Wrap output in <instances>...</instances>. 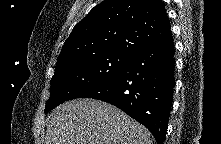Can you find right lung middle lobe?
Returning a JSON list of instances; mask_svg holds the SVG:
<instances>
[{
    "mask_svg": "<svg viewBox=\"0 0 221 144\" xmlns=\"http://www.w3.org/2000/svg\"><path fill=\"white\" fill-rule=\"evenodd\" d=\"M133 56L123 51H108L56 67L45 112L65 101L79 98L111 79Z\"/></svg>",
    "mask_w": 221,
    "mask_h": 144,
    "instance_id": "right-lung-middle-lobe-1",
    "label": "right lung middle lobe"
}]
</instances>
